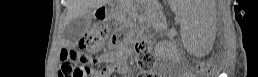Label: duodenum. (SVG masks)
<instances>
[{"label":"duodenum","mask_w":258,"mask_h":77,"mask_svg":"<svg viewBox=\"0 0 258 77\" xmlns=\"http://www.w3.org/2000/svg\"><path fill=\"white\" fill-rule=\"evenodd\" d=\"M104 13V9H100V14L102 15Z\"/></svg>","instance_id":"1"}]
</instances>
